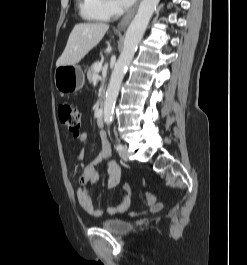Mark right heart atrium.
<instances>
[{
  "label": "right heart atrium",
  "instance_id": "1",
  "mask_svg": "<svg viewBox=\"0 0 247 265\" xmlns=\"http://www.w3.org/2000/svg\"><path fill=\"white\" fill-rule=\"evenodd\" d=\"M95 8L107 18L115 16L120 11L115 0H95Z\"/></svg>",
  "mask_w": 247,
  "mask_h": 265
}]
</instances>
